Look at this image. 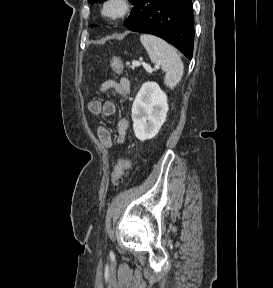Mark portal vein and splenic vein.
I'll return each mask as SVG.
<instances>
[{"label": "portal vein and splenic vein", "instance_id": "obj_1", "mask_svg": "<svg viewBox=\"0 0 273 288\" xmlns=\"http://www.w3.org/2000/svg\"><path fill=\"white\" fill-rule=\"evenodd\" d=\"M140 65H143L146 68V70L149 71V72L153 71V69L148 67L147 64H145V63H141V62H138V61H133L132 62V68L138 67ZM158 68H159V66L156 65L155 69H158Z\"/></svg>", "mask_w": 273, "mask_h": 288}]
</instances>
